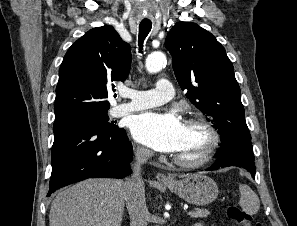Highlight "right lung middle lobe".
Segmentation results:
<instances>
[{
    "label": "right lung middle lobe",
    "mask_w": 297,
    "mask_h": 226,
    "mask_svg": "<svg viewBox=\"0 0 297 226\" xmlns=\"http://www.w3.org/2000/svg\"><path fill=\"white\" fill-rule=\"evenodd\" d=\"M70 117H80V118L86 120L88 123H90L98 128H101L103 130H106V131H116L118 129H122L112 123H108L107 110L83 111V112L74 114Z\"/></svg>",
    "instance_id": "dd1d6c3e"
}]
</instances>
